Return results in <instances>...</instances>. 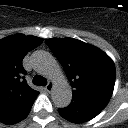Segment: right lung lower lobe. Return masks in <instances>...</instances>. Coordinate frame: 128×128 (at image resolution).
Masks as SVG:
<instances>
[{"instance_id":"1","label":"right lung lower lobe","mask_w":128,"mask_h":128,"mask_svg":"<svg viewBox=\"0 0 128 128\" xmlns=\"http://www.w3.org/2000/svg\"><path fill=\"white\" fill-rule=\"evenodd\" d=\"M37 95L28 98L26 101L22 102L17 107H15L12 111L1 116L0 122L10 125V124L17 123L23 120L24 118H26L30 112L32 104L34 100L36 99Z\"/></svg>"}]
</instances>
